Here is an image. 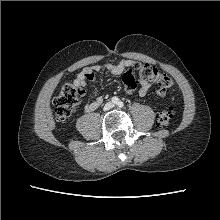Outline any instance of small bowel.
Masks as SVG:
<instances>
[{
	"label": "small bowel",
	"mask_w": 220,
	"mask_h": 220,
	"mask_svg": "<svg viewBox=\"0 0 220 220\" xmlns=\"http://www.w3.org/2000/svg\"><path fill=\"white\" fill-rule=\"evenodd\" d=\"M133 62L131 60L123 59L120 60L117 63H109L106 64L105 66H99L95 65L89 69H86L82 72H80L77 77L74 80V84L77 85L80 88H83L86 86L87 82L93 81L95 73L100 72V71H106L110 74L113 75H119L121 74L125 68L131 66ZM150 89V84L148 81L141 79L139 81V90L138 94L140 96H145ZM129 94L133 93L135 90L131 89H126ZM103 103V98L101 96L97 97L93 101L85 104L84 106V112L90 113L95 111L97 108H99Z\"/></svg>",
	"instance_id": "c3829d8e"
}]
</instances>
